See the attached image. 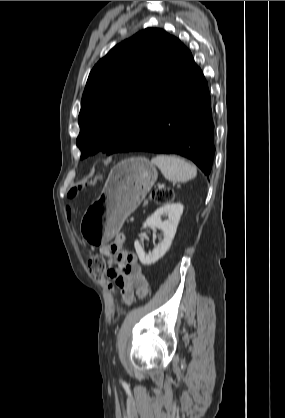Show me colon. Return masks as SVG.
Listing matches in <instances>:
<instances>
[{"instance_id":"5ec220e1","label":"colon","mask_w":285,"mask_h":418,"mask_svg":"<svg viewBox=\"0 0 285 418\" xmlns=\"http://www.w3.org/2000/svg\"><path fill=\"white\" fill-rule=\"evenodd\" d=\"M152 198L159 203L169 202L173 199V193L167 189H159L153 192ZM88 264L92 272L102 281L105 287L112 292V278L107 276L106 262L101 254L88 258Z\"/></svg>"}]
</instances>
